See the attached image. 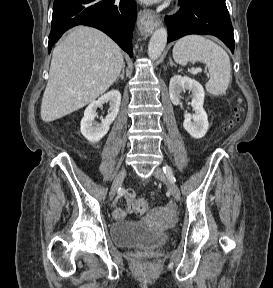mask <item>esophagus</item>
I'll return each instance as SVG.
<instances>
[{
  "instance_id": "esophagus-1",
  "label": "esophagus",
  "mask_w": 273,
  "mask_h": 288,
  "mask_svg": "<svg viewBox=\"0 0 273 288\" xmlns=\"http://www.w3.org/2000/svg\"><path fill=\"white\" fill-rule=\"evenodd\" d=\"M162 18L151 9H143L138 13V28L141 33H151L155 28L162 25Z\"/></svg>"
}]
</instances>
